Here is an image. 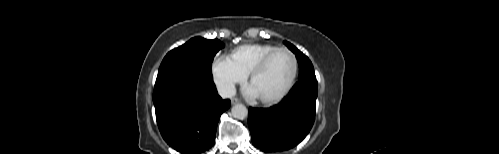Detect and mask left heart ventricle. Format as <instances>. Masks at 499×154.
<instances>
[{
    "mask_svg": "<svg viewBox=\"0 0 499 154\" xmlns=\"http://www.w3.org/2000/svg\"><path fill=\"white\" fill-rule=\"evenodd\" d=\"M291 57L285 52L275 54L265 69L250 83L258 98L276 96L286 86L292 73Z\"/></svg>",
    "mask_w": 499,
    "mask_h": 154,
    "instance_id": "obj_1",
    "label": "left heart ventricle"
}]
</instances>
